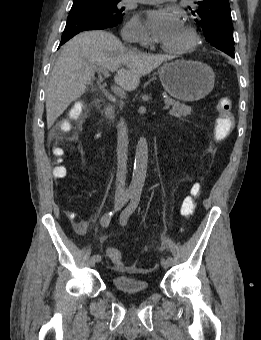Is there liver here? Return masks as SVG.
I'll list each match as a JSON object with an SVG mask.
<instances>
[{
  "instance_id": "obj_1",
  "label": "liver",
  "mask_w": 261,
  "mask_h": 340,
  "mask_svg": "<svg viewBox=\"0 0 261 340\" xmlns=\"http://www.w3.org/2000/svg\"><path fill=\"white\" fill-rule=\"evenodd\" d=\"M168 60L170 57L128 49L105 31H86L76 35L63 46L48 83L47 127L51 128L68 106L85 93L94 79V67L116 71L115 83L132 91L138 87L142 76Z\"/></svg>"
}]
</instances>
